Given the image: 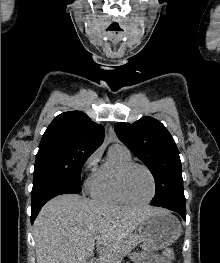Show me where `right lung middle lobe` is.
I'll list each match as a JSON object with an SVG mask.
<instances>
[{
	"label": "right lung middle lobe",
	"instance_id": "1",
	"mask_svg": "<svg viewBox=\"0 0 220 263\" xmlns=\"http://www.w3.org/2000/svg\"><path fill=\"white\" fill-rule=\"evenodd\" d=\"M93 152L72 149H49L37 153L33 188L45 183L81 186V169Z\"/></svg>",
	"mask_w": 220,
	"mask_h": 263
}]
</instances>
